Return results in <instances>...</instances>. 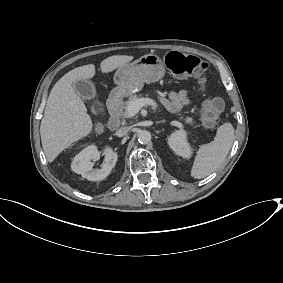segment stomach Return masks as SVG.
Here are the masks:
<instances>
[{"label": "stomach", "instance_id": "0dacf381", "mask_svg": "<svg viewBox=\"0 0 283 283\" xmlns=\"http://www.w3.org/2000/svg\"><path fill=\"white\" fill-rule=\"evenodd\" d=\"M165 74L164 65L155 54H146L139 59L120 66L115 75L114 88L119 96H129L140 91L144 83H152L160 80Z\"/></svg>", "mask_w": 283, "mask_h": 283}]
</instances>
